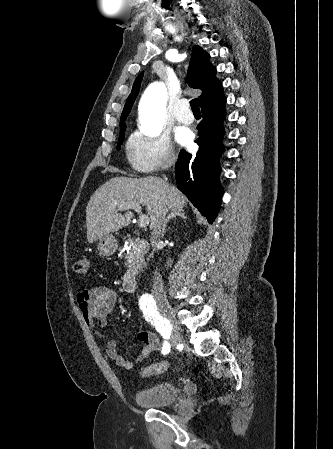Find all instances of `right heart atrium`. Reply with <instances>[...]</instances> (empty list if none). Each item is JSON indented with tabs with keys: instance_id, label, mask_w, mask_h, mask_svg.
<instances>
[{
	"instance_id": "obj_1",
	"label": "right heart atrium",
	"mask_w": 333,
	"mask_h": 449,
	"mask_svg": "<svg viewBox=\"0 0 333 449\" xmlns=\"http://www.w3.org/2000/svg\"><path fill=\"white\" fill-rule=\"evenodd\" d=\"M127 157L140 173H152L170 167L176 160L172 144L166 135L134 133L127 143Z\"/></svg>"
}]
</instances>
